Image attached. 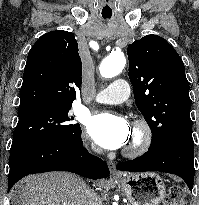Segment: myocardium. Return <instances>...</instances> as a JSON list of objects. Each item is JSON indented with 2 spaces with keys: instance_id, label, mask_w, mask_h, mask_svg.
<instances>
[{
  "instance_id": "f54148a6",
  "label": "myocardium",
  "mask_w": 199,
  "mask_h": 205,
  "mask_svg": "<svg viewBox=\"0 0 199 205\" xmlns=\"http://www.w3.org/2000/svg\"><path fill=\"white\" fill-rule=\"evenodd\" d=\"M133 129L136 133V139L123 150L124 155L128 157H138L145 154L153 143V130L145 119H136L133 122Z\"/></svg>"
}]
</instances>
